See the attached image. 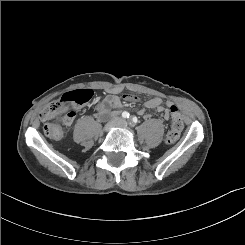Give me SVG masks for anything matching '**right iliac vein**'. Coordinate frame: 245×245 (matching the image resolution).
<instances>
[{
	"label": "right iliac vein",
	"mask_w": 245,
	"mask_h": 245,
	"mask_svg": "<svg viewBox=\"0 0 245 245\" xmlns=\"http://www.w3.org/2000/svg\"><path fill=\"white\" fill-rule=\"evenodd\" d=\"M120 123V121L115 118L110 120L104 127V132L109 131L110 129H112L113 127L117 126Z\"/></svg>",
	"instance_id": "right-iliac-vein-1"
}]
</instances>
